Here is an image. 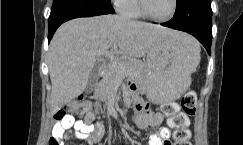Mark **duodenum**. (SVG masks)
I'll use <instances>...</instances> for the list:
<instances>
[{
	"instance_id": "1",
	"label": "duodenum",
	"mask_w": 243,
	"mask_h": 145,
	"mask_svg": "<svg viewBox=\"0 0 243 145\" xmlns=\"http://www.w3.org/2000/svg\"><path fill=\"white\" fill-rule=\"evenodd\" d=\"M107 71V67L105 65L101 66L100 69H99V73L101 75L105 74ZM102 109V108H101Z\"/></svg>"
}]
</instances>
